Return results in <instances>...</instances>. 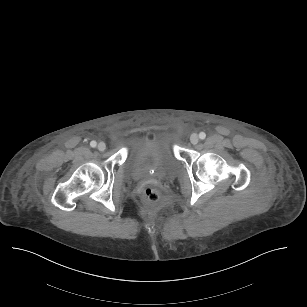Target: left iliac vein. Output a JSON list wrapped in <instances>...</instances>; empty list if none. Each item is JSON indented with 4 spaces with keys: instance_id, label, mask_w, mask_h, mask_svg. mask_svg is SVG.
Masks as SVG:
<instances>
[{
    "instance_id": "left-iliac-vein-1",
    "label": "left iliac vein",
    "mask_w": 307,
    "mask_h": 307,
    "mask_svg": "<svg viewBox=\"0 0 307 307\" xmlns=\"http://www.w3.org/2000/svg\"><path fill=\"white\" fill-rule=\"evenodd\" d=\"M190 142L193 145H196L199 142V137L196 134L191 135L190 137Z\"/></svg>"
}]
</instances>
